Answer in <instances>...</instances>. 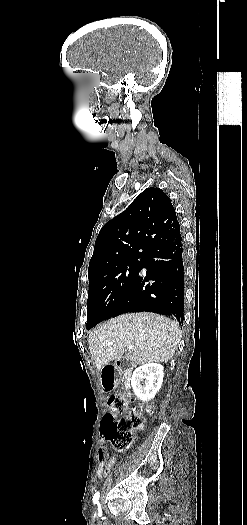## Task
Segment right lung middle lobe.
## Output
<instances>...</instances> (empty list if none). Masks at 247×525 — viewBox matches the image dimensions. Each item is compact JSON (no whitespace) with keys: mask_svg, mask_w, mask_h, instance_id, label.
<instances>
[{"mask_svg":"<svg viewBox=\"0 0 247 525\" xmlns=\"http://www.w3.org/2000/svg\"><path fill=\"white\" fill-rule=\"evenodd\" d=\"M127 266L88 274L87 329L114 316V313L137 279L143 259Z\"/></svg>","mask_w":247,"mask_h":525,"instance_id":"1","label":"right lung middle lobe"}]
</instances>
